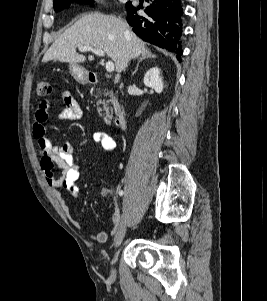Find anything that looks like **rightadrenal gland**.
<instances>
[{
    "mask_svg": "<svg viewBox=\"0 0 267 301\" xmlns=\"http://www.w3.org/2000/svg\"><path fill=\"white\" fill-rule=\"evenodd\" d=\"M151 58H156V55H152L149 51L148 52H145L141 55L137 65H136V68H135V71L133 72V75L136 74L137 70H138V67H139V63L145 59H151Z\"/></svg>",
    "mask_w": 267,
    "mask_h": 301,
    "instance_id": "right-adrenal-gland-1",
    "label": "right adrenal gland"
}]
</instances>
